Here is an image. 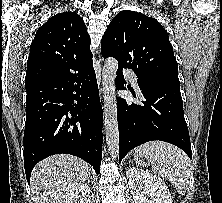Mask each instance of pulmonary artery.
<instances>
[{
  "label": "pulmonary artery",
  "mask_w": 222,
  "mask_h": 203,
  "mask_svg": "<svg viewBox=\"0 0 222 203\" xmlns=\"http://www.w3.org/2000/svg\"><path fill=\"white\" fill-rule=\"evenodd\" d=\"M124 75L127 76V77L131 80L132 84H133L135 87H138L137 76H136V74H135L132 70H130V69H125V70H124Z\"/></svg>",
  "instance_id": "e3ab8cb5"
}]
</instances>
